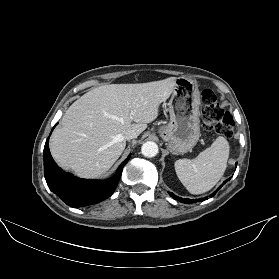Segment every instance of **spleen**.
<instances>
[{"instance_id":"spleen-1","label":"spleen","mask_w":279,"mask_h":279,"mask_svg":"<svg viewBox=\"0 0 279 279\" xmlns=\"http://www.w3.org/2000/svg\"><path fill=\"white\" fill-rule=\"evenodd\" d=\"M229 143L219 136L210 147L195 159H179L175 171L191 194H202L211 190L222 178L229 158Z\"/></svg>"}]
</instances>
